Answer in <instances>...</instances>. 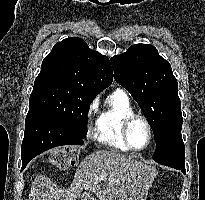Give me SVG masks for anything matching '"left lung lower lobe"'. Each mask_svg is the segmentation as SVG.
Returning <instances> with one entry per match:
<instances>
[{
    "mask_svg": "<svg viewBox=\"0 0 205 200\" xmlns=\"http://www.w3.org/2000/svg\"><path fill=\"white\" fill-rule=\"evenodd\" d=\"M182 122L180 113L166 123L164 132L156 144L153 159L186 174L184 143L181 136Z\"/></svg>",
    "mask_w": 205,
    "mask_h": 200,
    "instance_id": "obj_1",
    "label": "left lung lower lobe"
}]
</instances>
